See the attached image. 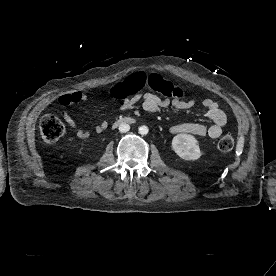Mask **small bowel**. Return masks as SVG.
<instances>
[{
  "mask_svg": "<svg viewBox=\"0 0 276 276\" xmlns=\"http://www.w3.org/2000/svg\"><path fill=\"white\" fill-rule=\"evenodd\" d=\"M88 101V96L81 91H74L71 93H64L59 97V103L62 106H70L72 104L85 103ZM141 105V107L149 112L156 113L163 108H167L169 105L174 106L177 109H186L193 105V101L178 102L170 99H160L158 96L151 93H137L134 96L125 97L120 105V110L133 109ZM206 117L211 120L212 125L205 126L197 123H181L171 128V133H189L201 137H210L212 139L218 138L223 131V128L227 124V116L223 110H221L218 104L212 99H205L202 103ZM64 120L67 124L76 130V135L79 138H88L90 132L88 130L78 128V125L69 113L63 112ZM105 128V123L98 124L95 127L96 132H101Z\"/></svg>",
  "mask_w": 276,
  "mask_h": 276,
  "instance_id": "small-bowel-1",
  "label": "small bowel"
}]
</instances>
